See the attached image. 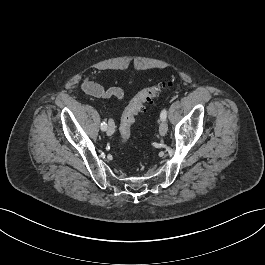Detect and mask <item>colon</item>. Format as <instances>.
Returning <instances> with one entry per match:
<instances>
[{"label":"colon","instance_id":"5ec220e1","mask_svg":"<svg viewBox=\"0 0 265 265\" xmlns=\"http://www.w3.org/2000/svg\"><path fill=\"white\" fill-rule=\"evenodd\" d=\"M168 87L169 84L167 83H157L141 90L132 98L129 105L124 110L120 122L119 133L122 143L127 142L130 138L131 129L135 122L136 115L145 111V104H151Z\"/></svg>","mask_w":265,"mask_h":265}]
</instances>
